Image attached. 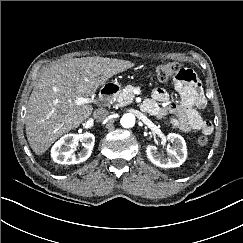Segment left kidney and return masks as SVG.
Returning <instances> with one entry per match:
<instances>
[{
    "instance_id": "1",
    "label": "left kidney",
    "mask_w": 243,
    "mask_h": 243,
    "mask_svg": "<svg viewBox=\"0 0 243 243\" xmlns=\"http://www.w3.org/2000/svg\"><path fill=\"white\" fill-rule=\"evenodd\" d=\"M168 141L172 142V146L166 148L168 156L160 154L156 146L149 145L146 148L148 159L156 166L161 168L179 167L187 157V147L184 138L176 133L167 135Z\"/></svg>"
}]
</instances>
